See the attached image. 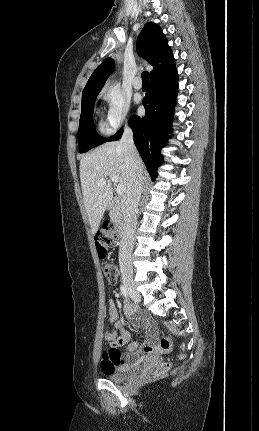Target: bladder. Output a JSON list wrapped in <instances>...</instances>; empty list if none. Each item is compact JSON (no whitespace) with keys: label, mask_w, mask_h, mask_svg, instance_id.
Returning <instances> with one entry per match:
<instances>
[{"label":"bladder","mask_w":259,"mask_h":431,"mask_svg":"<svg viewBox=\"0 0 259 431\" xmlns=\"http://www.w3.org/2000/svg\"><path fill=\"white\" fill-rule=\"evenodd\" d=\"M139 371V366L134 365H125L122 367H118L110 372L104 373L106 379L112 382H123L136 374Z\"/></svg>","instance_id":"bladder-1"}]
</instances>
